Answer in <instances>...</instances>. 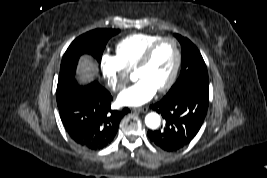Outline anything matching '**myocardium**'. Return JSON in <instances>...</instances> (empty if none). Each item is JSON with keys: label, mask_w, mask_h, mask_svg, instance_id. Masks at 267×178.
<instances>
[{"label": "myocardium", "mask_w": 267, "mask_h": 178, "mask_svg": "<svg viewBox=\"0 0 267 178\" xmlns=\"http://www.w3.org/2000/svg\"><path fill=\"white\" fill-rule=\"evenodd\" d=\"M166 41H170L173 44L174 49H175L176 58H175V63H174L172 72H171L168 80L161 87H159L157 89V91H159V92H164V91L168 90L169 88H171L172 85L174 84L176 78H177V75H178V72H179V69L181 66V62H182V52H181V48H180V45H179V42L177 41V39L172 37V36H165V37H161L160 39L155 41L145 51V53L143 54V56L141 57L140 61L138 62L137 66L135 68V70L137 71L139 69L146 67L150 63L157 48L162 43H164Z\"/></svg>", "instance_id": "f54148a6"}]
</instances>
